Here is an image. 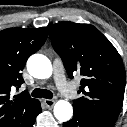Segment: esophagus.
I'll return each instance as SVG.
<instances>
[{
  "label": "esophagus",
  "mask_w": 127,
  "mask_h": 127,
  "mask_svg": "<svg viewBox=\"0 0 127 127\" xmlns=\"http://www.w3.org/2000/svg\"><path fill=\"white\" fill-rule=\"evenodd\" d=\"M44 104L46 105V107H47L48 109H52L53 106H54V104H55V101L52 100V99H45V100H44Z\"/></svg>",
  "instance_id": "1"
}]
</instances>
